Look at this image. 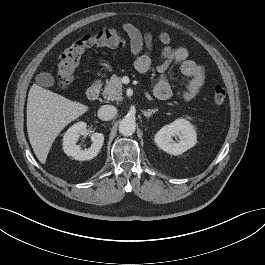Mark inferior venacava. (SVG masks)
<instances>
[{
	"mask_svg": "<svg viewBox=\"0 0 265 265\" xmlns=\"http://www.w3.org/2000/svg\"><path fill=\"white\" fill-rule=\"evenodd\" d=\"M117 114V108L112 105L101 106L98 110V117L101 120L109 121L113 119Z\"/></svg>",
	"mask_w": 265,
	"mask_h": 265,
	"instance_id": "obj_1",
	"label": "inferior vena cava"
}]
</instances>
